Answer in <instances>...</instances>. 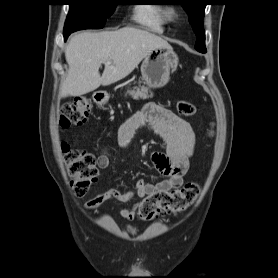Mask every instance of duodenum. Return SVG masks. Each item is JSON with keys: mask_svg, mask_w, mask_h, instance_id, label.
<instances>
[{"mask_svg": "<svg viewBox=\"0 0 278 278\" xmlns=\"http://www.w3.org/2000/svg\"><path fill=\"white\" fill-rule=\"evenodd\" d=\"M105 99V94L101 91H97L94 94V100L96 103H102Z\"/></svg>", "mask_w": 278, "mask_h": 278, "instance_id": "obj_1", "label": "duodenum"}]
</instances>
